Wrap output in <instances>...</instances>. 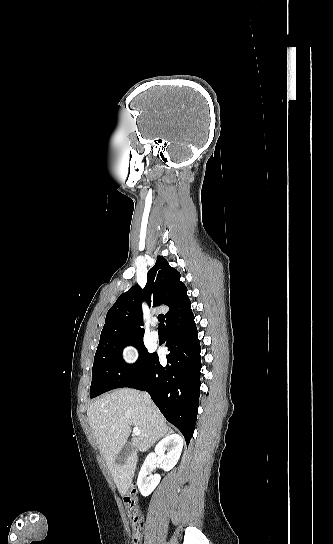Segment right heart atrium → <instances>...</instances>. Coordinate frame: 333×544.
<instances>
[{"mask_svg":"<svg viewBox=\"0 0 333 544\" xmlns=\"http://www.w3.org/2000/svg\"><path fill=\"white\" fill-rule=\"evenodd\" d=\"M121 359L124 364L132 365L138 359V351L132 344H127L121 349Z\"/></svg>","mask_w":333,"mask_h":544,"instance_id":"d8ad5b80","label":"right heart atrium"}]
</instances>
